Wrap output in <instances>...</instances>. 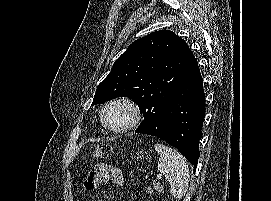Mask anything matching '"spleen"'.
<instances>
[{"instance_id": "obj_1", "label": "spleen", "mask_w": 271, "mask_h": 201, "mask_svg": "<svg viewBox=\"0 0 271 201\" xmlns=\"http://www.w3.org/2000/svg\"><path fill=\"white\" fill-rule=\"evenodd\" d=\"M155 150L160 155L158 170L168 180L171 195L176 199L183 198L190 178L186 159L177 150L164 144H155Z\"/></svg>"}]
</instances>
